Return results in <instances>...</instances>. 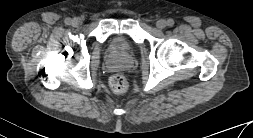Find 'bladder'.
<instances>
[{"mask_svg":"<svg viewBox=\"0 0 253 138\" xmlns=\"http://www.w3.org/2000/svg\"><path fill=\"white\" fill-rule=\"evenodd\" d=\"M111 47L113 50L130 54L134 50V45L130 39L125 36L116 35L111 39Z\"/></svg>","mask_w":253,"mask_h":138,"instance_id":"31cf9c89","label":"bladder"}]
</instances>
